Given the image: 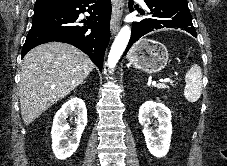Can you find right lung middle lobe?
Instances as JSON below:
<instances>
[{
  "mask_svg": "<svg viewBox=\"0 0 227 166\" xmlns=\"http://www.w3.org/2000/svg\"><path fill=\"white\" fill-rule=\"evenodd\" d=\"M63 6H47V5H42V6H34V16L43 14L47 11L56 9V8H61Z\"/></svg>",
  "mask_w": 227,
  "mask_h": 166,
  "instance_id": "1",
  "label": "right lung middle lobe"
}]
</instances>
